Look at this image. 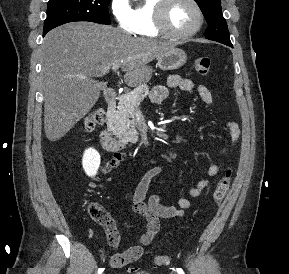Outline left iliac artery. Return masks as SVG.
<instances>
[{
    "label": "left iliac artery",
    "mask_w": 289,
    "mask_h": 274,
    "mask_svg": "<svg viewBox=\"0 0 289 274\" xmlns=\"http://www.w3.org/2000/svg\"><path fill=\"white\" fill-rule=\"evenodd\" d=\"M176 271H177L178 274H185L184 271L181 268H177Z\"/></svg>",
    "instance_id": "1"
}]
</instances>
